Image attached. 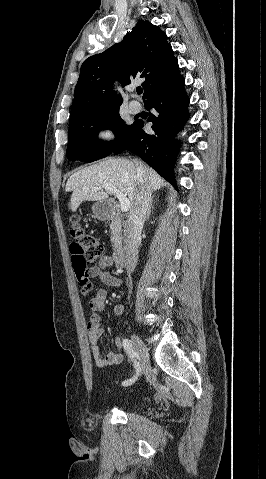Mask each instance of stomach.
<instances>
[{"mask_svg":"<svg viewBox=\"0 0 266 479\" xmlns=\"http://www.w3.org/2000/svg\"><path fill=\"white\" fill-rule=\"evenodd\" d=\"M92 211L99 220H107L111 214V205L106 201H98L92 206Z\"/></svg>","mask_w":266,"mask_h":479,"instance_id":"1","label":"stomach"}]
</instances>
